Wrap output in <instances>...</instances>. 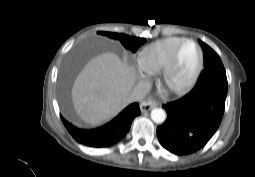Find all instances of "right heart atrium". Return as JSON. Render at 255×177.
Wrapping results in <instances>:
<instances>
[{
	"instance_id": "right-heart-atrium-1",
	"label": "right heart atrium",
	"mask_w": 255,
	"mask_h": 177,
	"mask_svg": "<svg viewBox=\"0 0 255 177\" xmlns=\"http://www.w3.org/2000/svg\"><path fill=\"white\" fill-rule=\"evenodd\" d=\"M140 63V72L143 76H147L148 74H151L153 72V70H150L148 68H146L142 63L141 61L139 62Z\"/></svg>"
}]
</instances>
